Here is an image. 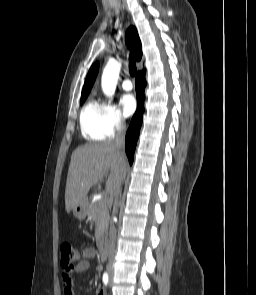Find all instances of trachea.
<instances>
[{
	"label": "trachea",
	"mask_w": 256,
	"mask_h": 295,
	"mask_svg": "<svg viewBox=\"0 0 256 295\" xmlns=\"http://www.w3.org/2000/svg\"><path fill=\"white\" fill-rule=\"evenodd\" d=\"M136 62L132 56H129V73L131 76H135L136 74Z\"/></svg>",
	"instance_id": "trachea-1"
}]
</instances>
